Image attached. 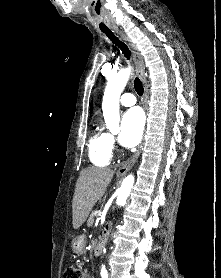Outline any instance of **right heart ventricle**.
I'll list each match as a JSON object with an SVG mask.
<instances>
[{
  "mask_svg": "<svg viewBox=\"0 0 221 278\" xmlns=\"http://www.w3.org/2000/svg\"><path fill=\"white\" fill-rule=\"evenodd\" d=\"M89 157L96 166H107L112 159V145L109 134L96 129L89 140Z\"/></svg>",
  "mask_w": 221,
  "mask_h": 278,
  "instance_id": "right-heart-ventricle-1",
  "label": "right heart ventricle"
}]
</instances>
